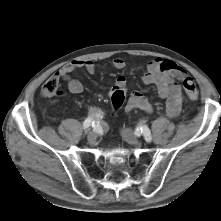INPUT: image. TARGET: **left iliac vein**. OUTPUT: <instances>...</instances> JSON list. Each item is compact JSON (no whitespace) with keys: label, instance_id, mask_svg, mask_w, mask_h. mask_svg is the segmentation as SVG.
<instances>
[{"label":"left iliac vein","instance_id":"obj_1","mask_svg":"<svg viewBox=\"0 0 221 221\" xmlns=\"http://www.w3.org/2000/svg\"><path fill=\"white\" fill-rule=\"evenodd\" d=\"M121 135L125 141H127L131 145L138 146L140 145L139 139L136 137V135L133 133L132 129L130 128H124L121 131ZM151 142V141H150Z\"/></svg>","mask_w":221,"mask_h":221}]
</instances>
